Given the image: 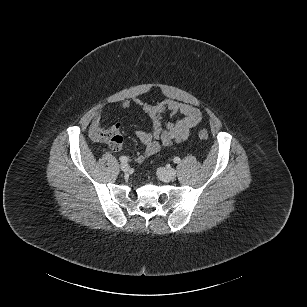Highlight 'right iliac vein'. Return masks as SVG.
Returning <instances> with one entry per match:
<instances>
[{
    "label": "right iliac vein",
    "instance_id": "obj_1",
    "mask_svg": "<svg viewBox=\"0 0 307 307\" xmlns=\"http://www.w3.org/2000/svg\"><path fill=\"white\" fill-rule=\"evenodd\" d=\"M120 168L123 172H128L129 171V165L125 162L121 163Z\"/></svg>",
    "mask_w": 307,
    "mask_h": 307
}]
</instances>
